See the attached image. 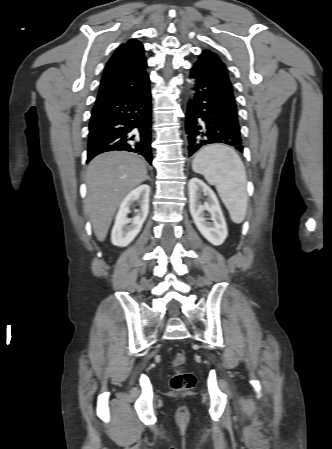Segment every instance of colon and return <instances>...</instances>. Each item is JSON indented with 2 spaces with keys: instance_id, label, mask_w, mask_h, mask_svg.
I'll list each match as a JSON object with an SVG mask.
<instances>
[{
  "instance_id": "5ec220e1",
  "label": "colon",
  "mask_w": 332,
  "mask_h": 449,
  "mask_svg": "<svg viewBox=\"0 0 332 449\" xmlns=\"http://www.w3.org/2000/svg\"><path fill=\"white\" fill-rule=\"evenodd\" d=\"M185 355L183 353H176L172 358V364L175 368V373L171 378V387L175 391H186L193 388L195 384V376L191 372L179 370L178 368L185 363Z\"/></svg>"
}]
</instances>
